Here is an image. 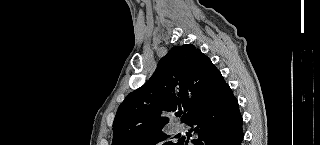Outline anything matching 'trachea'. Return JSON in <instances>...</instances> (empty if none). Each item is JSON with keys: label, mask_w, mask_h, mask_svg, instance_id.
Wrapping results in <instances>:
<instances>
[{"label": "trachea", "mask_w": 320, "mask_h": 145, "mask_svg": "<svg viewBox=\"0 0 320 145\" xmlns=\"http://www.w3.org/2000/svg\"><path fill=\"white\" fill-rule=\"evenodd\" d=\"M176 115L180 117L182 115V112H178Z\"/></svg>", "instance_id": "obj_1"}]
</instances>
